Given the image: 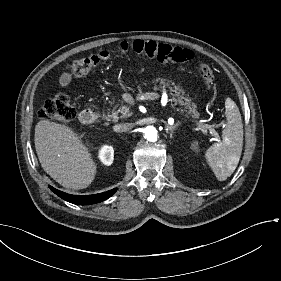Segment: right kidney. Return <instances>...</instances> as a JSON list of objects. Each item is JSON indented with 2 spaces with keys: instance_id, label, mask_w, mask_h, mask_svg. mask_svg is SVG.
Here are the masks:
<instances>
[{
  "instance_id": "ca27d5eb",
  "label": "right kidney",
  "mask_w": 281,
  "mask_h": 281,
  "mask_svg": "<svg viewBox=\"0 0 281 281\" xmlns=\"http://www.w3.org/2000/svg\"><path fill=\"white\" fill-rule=\"evenodd\" d=\"M98 158L104 165L110 166L114 160L113 147L108 145L101 146L98 151Z\"/></svg>"
}]
</instances>
